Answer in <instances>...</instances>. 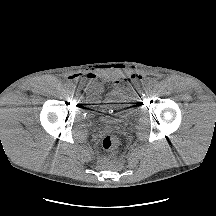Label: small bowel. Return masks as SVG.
<instances>
[{"mask_svg":"<svg viewBox=\"0 0 216 216\" xmlns=\"http://www.w3.org/2000/svg\"><path fill=\"white\" fill-rule=\"evenodd\" d=\"M87 79L89 81V84L93 90V92L98 89L99 87H101L100 83H98L97 81H95V75L93 74H87ZM131 78L132 80H141L142 79V76L140 74H132L131 75ZM79 79V76L78 75H72L69 77V80L74 82V81H77ZM118 83V82H117Z\"/></svg>","mask_w":216,"mask_h":216,"instance_id":"c3829d8e","label":"small bowel"}]
</instances>
